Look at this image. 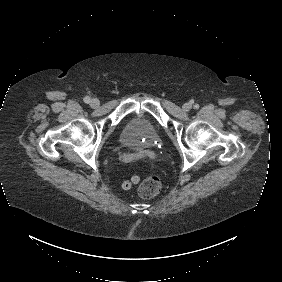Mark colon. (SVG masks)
Wrapping results in <instances>:
<instances>
[{
    "label": "colon",
    "mask_w": 282,
    "mask_h": 282,
    "mask_svg": "<svg viewBox=\"0 0 282 282\" xmlns=\"http://www.w3.org/2000/svg\"><path fill=\"white\" fill-rule=\"evenodd\" d=\"M138 176H134L129 180L123 182L122 186L125 189H129L138 180ZM161 190V181L157 179L156 175H150L145 178L142 184L137 188L139 197L143 199H151L155 197Z\"/></svg>",
    "instance_id": "5ec220e1"
}]
</instances>
